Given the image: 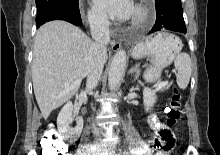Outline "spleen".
Masks as SVG:
<instances>
[{"instance_id":"obj_1","label":"spleen","mask_w":220,"mask_h":155,"mask_svg":"<svg viewBox=\"0 0 220 155\" xmlns=\"http://www.w3.org/2000/svg\"><path fill=\"white\" fill-rule=\"evenodd\" d=\"M174 66L177 70V85L180 89L184 90L189 84L192 72V62L190 56L184 52L179 53L174 61Z\"/></svg>"}]
</instances>
